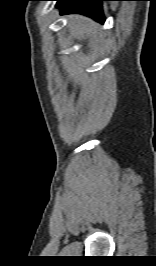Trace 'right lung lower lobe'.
<instances>
[{
    "mask_svg": "<svg viewBox=\"0 0 156 266\" xmlns=\"http://www.w3.org/2000/svg\"><path fill=\"white\" fill-rule=\"evenodd\" d=\"M62 14L80 13L103 23L102 1L107 0H55Z\"/></svg>",
    "mask_w": 156,
    "mask_h": 266,
    "instance_id": "1",
    "label": "right lung lower lobe"
}]
</instances>
